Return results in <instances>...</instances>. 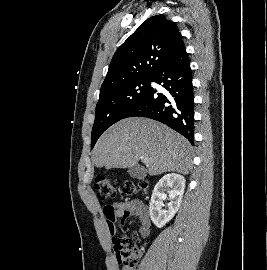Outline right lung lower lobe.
<instances>
[{"label":"right lung lower lobe","mask_w":267,"mask_h":270,"mask_svg":"<svg viewBox=\"0 0 267 270\" xmlns=\"http://www.w3.org/2000/svg\"><path fill=\"white\" fill-rule=\"evenodd\" d=\"M164 93L150 87L126 115L147 117L176 130L194 144V95L190 62L184 44L175 49L150 77Z\"/></svg>","instance_id":"obj_1"}]
</instances>
